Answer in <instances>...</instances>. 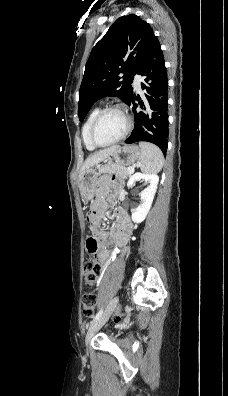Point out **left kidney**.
<instances>
[{"instance_id":"5707ae66","label":"left kidney","mask_w":228,"mask_h":396,"mask_svg":"<svg viewBox=\"0 0 228 396\" xmlns=\"http://www.w3.org/2000/svg\"><path fill=\"white\" fill-rule=\"evenodd\" d=\"M141 180L145 181L146 188L139 194L141 202L132 212V221L134 223H141L146 218L157 190L159 177L156 174L135 173L129 178L127 186L132 187L135 182Z\"/></svg>"}]
</instances>
